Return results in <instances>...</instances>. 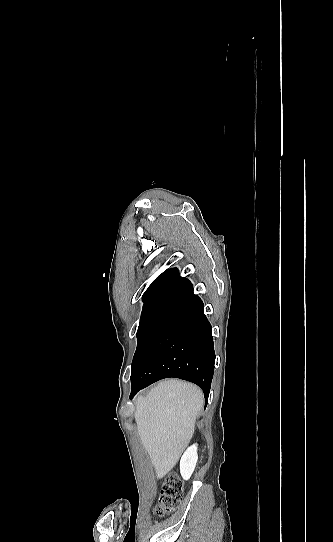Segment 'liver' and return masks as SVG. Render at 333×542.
Instances as JSON below:
<instances>
[{
  "instance_id": "liver-1",
  "label": "liver",
  "mask_w": 333,
  "mask_h": 542,
  "mask_svg": "<svg viewBox=\"0 0 333 542\" xmlns=\"http://www.w3.org/2000/svg\"><path fill=\"white\" fill-rule=\"evenodd\" d=\"M200 388L181 380H164L136 400L135 422L157 480L176 466L187 448L203 406Z\"/></svg>"
}]
</instances>
